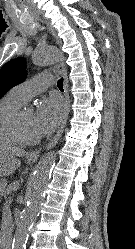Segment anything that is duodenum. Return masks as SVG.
<instances>
[{"instance_id":"1","label":"duodenum","mask_w":135,"mask_h":249,"mask_svg":"<svg viewBox=\"0 0 135 249\" xmlns=\"http://www.w3.org/2000/svg\"><path fill=\"white\" fill-rule=\"evenodd\" d=\"M0 246L4 249H11V239L7 235H2L0 237Z\"/></svg>"}]
</instances>
